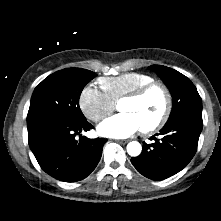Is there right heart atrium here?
I'll list each match as a JSON object with an SVG mask.
<instances>
[{
    "instance_id": "obj_1",
    "label": "right heart atrium",
    "mask_w": 221,
    "mask_h": 221,
    "mask_svg": "<svg viewBox=\"0 0 221 221\" xmlns=\"http://www.w3.org/2000/svg\"><path fill=\"white\" fill-rule=\"evenodd\" d=\"M79 107L87 119L97 123L113 112L115 103L103 91L87 85L80 93Z\"/></svg>"
}]
</instances>
